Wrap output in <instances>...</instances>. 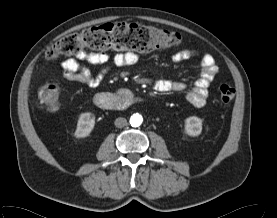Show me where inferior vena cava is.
Masks as SVG:
<instances>
[{"label": "inferior vena cava", "instance_id": "1", "mask_svg": "<svg viewBox=\"0 0 277 218\" xmlns=\"http://www.w3.org/2000/svg\"><path fill=\"white\" fill-rule=\"evenodd\" d=\"M115 126L118 127V128H122L124 126L127 125V120L126 118H123V117H118L115 122H114Z\"/></svg>", "mask_w": 277, "mask_h": 218}]
</instances>
